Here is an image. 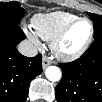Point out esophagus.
<instances>
[{"mask_svg": "<svg viewBox=\"0 0 102 102\" xmlns=\"http://www.w3.org/2000/svg\"><path fill=\"white\" fill-rule=\"evenodd\" d=\"M52 63H53L52 60H50L46 56H43V61H42V67H43V69H45L47 66H49Z\"/></svg>", "mask_w": 102, "mask_h": 102, "instance_id": "1", "label": "esophagus"}]
</instances>
